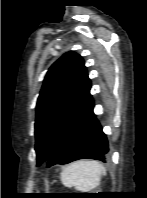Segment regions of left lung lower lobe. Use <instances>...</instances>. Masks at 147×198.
Instances as JSON below:
<instances>
[{"instance_id": "0a47b994", "label": "left lung lower lobe", "mask_w": 147, "mask_h": 198, "mask_svg": "<svg viewBox=\"0 0 147 198\" xmlns=\"http://www.w3.org/2000/svg\"><path fill=\"white\" fill-rule=\"evenodd\" d=\"M92 97L55 144L46 164H67L79 159L105 162L109 151L106 135L93 113Z\"/></svg>"}]
</instances>
